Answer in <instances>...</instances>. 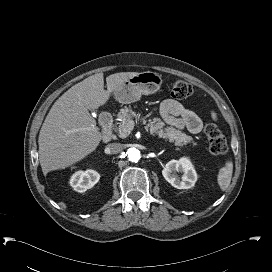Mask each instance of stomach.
I'll return each mask as SVG.
<instances>
[{"instance_id": "0dacf381", "label": "stomach", "mask_w": 272, "mask_h": 272, "mask_svg": "<svg viewBox=\"0 0 272 272\" xmlns=\"http://www.w3.org/2000/svg\"><path fill=\"white\" fill-rule=\"evenodd\" d=\"M162 76L146 71L129 78L119 89L114 91V98L121 104L138 101L142 95L156 93L162 85Z\"/></svg>"}]
</instances>
